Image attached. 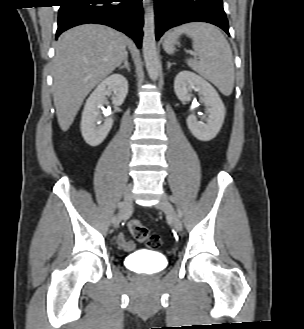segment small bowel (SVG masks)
Segmentation results:
<instances>
[{"mask_svg": "<svg viewBox=\"0 0 304 329\" xmlns=\"http://www.w3.org/2000/svg\"><path fill=\"white\" fill-rule=\"evenodd\" d=\"M117 243L126 252H130L135 249L134 243L131 242L124 233H120L117 236Z\"/></svg>", "mask_w": 304, "mask_h": 329, "instance_id": "c3829d8e", "label": "small bowel"}]
</instances>
